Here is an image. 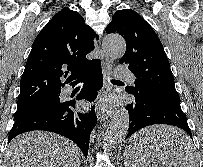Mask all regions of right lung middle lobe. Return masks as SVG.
Masks as SVG:
<instances>
[{
  "label": "right lung middle lobe",
  "instance_id": "1",
  "mask_svg": "<svg viewBox=\"0 0 203 167\" xmlns=\"http://www.w3.org/2000/svg\"><path fill=\"white\" fill-rule=\"evenodd\" d=\"M59 102H60L59 94H55L30 104L18 106L17 111L14 115V119H17L29 112L55 105Z\"/></svg>",
  "mask_w": 203,
  "mask_h": 167
}]
</instances>
